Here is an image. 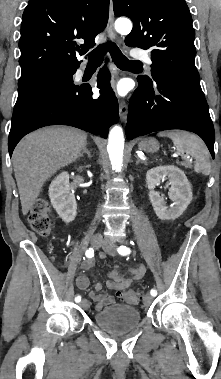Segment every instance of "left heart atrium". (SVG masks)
I'll return each mask as SVG.
<instances>
[{"instance_id": "obj_1", "label": "left heart atrium", "mask_w": 221, "mask_h": 379, "mask_svg": "<svg viewBox=\"0 0 221 379\" xmlns=\"http://www.w3.org/2000/svg\"><path fill=\"white\" fill-rule=\"evenodd\" d=\"M116 91L120 95H124L127 92V88L123 83L118 84Z\"/></svg>"}]
</instances>
